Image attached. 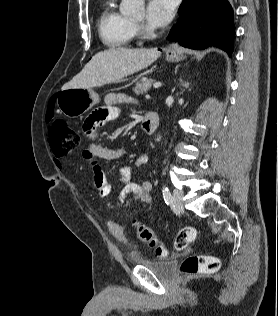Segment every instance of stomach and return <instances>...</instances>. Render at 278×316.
I'll return each mask as SVG.
<instances>
[{"label":"stomach","instance_id":"obj_1","mask_svg":"<svg viewBox=\"0 0 278 316\" xmlns=\"http://www.w3.org/2000/svg\"><path fill=\"white\" fill-rule=\"evenodd\" d=\"M183 57L177 53L167 54L168 61H179ZM99 102L98 94L91 88H69L58 94L59 110L69 118H76L89 111Z\"/></svg>","mask_w":278,"mask_h":316}]
</instances>
